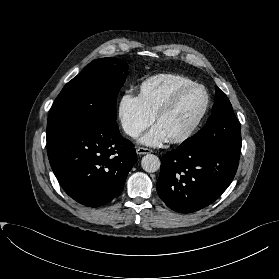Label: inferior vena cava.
<instances>
[{"label": "inferior vena cava", "instance_id": "1", "mask_svg": "<svg viewBox=\"0 0 279 279\" xmlns=\"http://www.w3.org/2000/svg\"><path fill=\"white\" fill-rule=\"evenodd\" d=\"M127 133H128L130 136H132V137H135V136L138 135V131L135 130V129H130V130H128Z\"/></svg>", "mask_w": 279, "mask_h": 279}]
</instances>
